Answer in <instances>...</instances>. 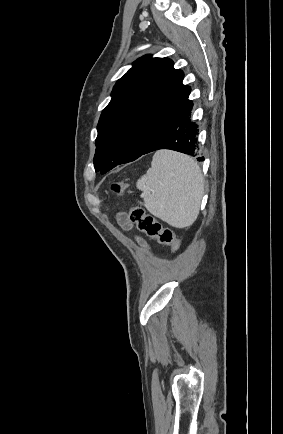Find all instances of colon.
<instances>
[{
  "label": "colon",
  "mask_w": 283,
  "mask_h": 434,
  "mask_svg": "<svg viewBox=\"0 0 283 434\" xmlns=\"http://www.w3.org/2000/svg\"><path fill=\"white\" fill-rule=\"evenodd\" d=\"M126 190L124 183H114L112 191L116 195H123ZM129 220L137 229L149 238L157 239L161 244L171 247L172 251L179 250L181 242L173 230L165 228L141 206H133L129 211Z\"/></svg>",
  "instance_id": "obj_1"
}]
</instances>
